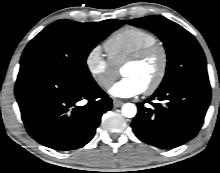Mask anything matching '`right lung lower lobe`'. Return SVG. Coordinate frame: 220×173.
Instances as JSON below:
<instances>
[{"instance_id":"1","label":"right lung lower lobe","mask_w":220,"mask_h":173,"mask_svg":"<svg viewBox=\"0 0 220 173\" xmlns=\"http://www.w3.org/2000/svg\"><path fill=\"white\" fill-rule=\"evenodd\" d=\"M15 95L30 136L59 151L87 144L103 113L112 108L93 79L76 82L44 71L19 72Z\"/></svg>"}]
</instances>
